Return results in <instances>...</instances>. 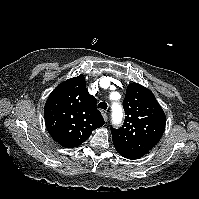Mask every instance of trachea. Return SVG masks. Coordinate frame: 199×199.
Returning <instances> with one entry per match:
<instances>
[{
  "label": "trachea",
  "mask_w": 199,
  "mask_h": 199,
  "mask_svg": "<svg viewBox=\"0 0 199 199\" xmlns=\"http://www.w3.org/2000/svg\"><path fill=\"white\" fill-rule=\"evenodd\" d=\"M107 103H105V102H100L99 104H98V108L99 109H103V110H106L107 109Z\"/></svg>",
  "instance_id": "1"
}]
</instances>
